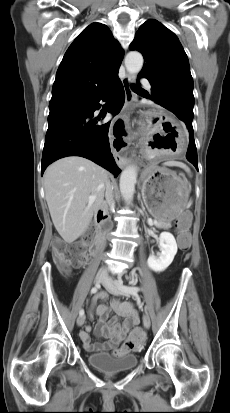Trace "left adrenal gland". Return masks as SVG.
Listing matches in <instances>:
<instances>
[{
    "label": "left adrenal gland",
    "instance_id": "left-adrenal-gland-1",
    "mask_svg": "<svg viewBox=\"0 0 230 413\" xmlns=\"http://www.w3.org/2000/svg\"><path fill=\"white\" fill-rule=\"evenodd\" d=\"M141 204H142V208L144 209L143 203H141Z\"/></svg>",
    "mask_w": 230,
    "mask_h": 413
}]
</instances>
